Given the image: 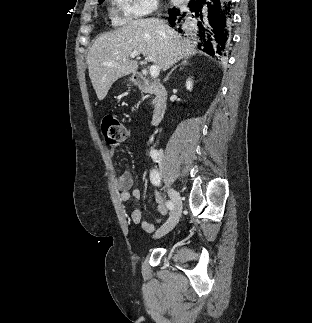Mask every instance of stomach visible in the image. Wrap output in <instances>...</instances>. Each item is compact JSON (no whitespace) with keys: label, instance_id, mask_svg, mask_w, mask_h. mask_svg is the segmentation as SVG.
<instances>
[{"label":"stomach","instance_id":"0dacf381","mask_svg":"<svg viewBox=\"0 0 312 323\" xmlns=\"http://www.w3.org/2000/svg\"><path fill=\"white\" fill-rule=\"evenodd\" d=\"M134 80V76H131V78H129V82H133Z\"/></svg>","mask_w":312,"mask_h":323}]
</instances>
